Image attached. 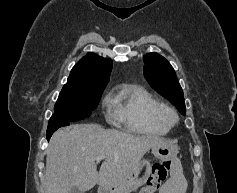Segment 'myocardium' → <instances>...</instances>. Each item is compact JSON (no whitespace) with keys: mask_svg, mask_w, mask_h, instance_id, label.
<instances>
[{"mask_svg":"<svg viewBox=\"0 0 237 193\" xmlns=\"http://www.w3.org/2000/svg\"><path fill=\"white\" fill-rule=\"evenodd\" d=\"M159 118L169 127L174 126L178 121L177 112L169 106H164L161 109L159 113Z\"/></svg>","mask_w":237,"mask_h":193,"instance_id":"f54148a6","label":"myocardium"}]
</instances>
